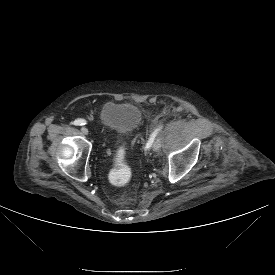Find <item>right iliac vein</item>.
<instances>
[{
  "label": "right iliac vein",
  "instance_id": "right-iliac-vein-1",
  "mask_svg": "<svg viewBox=\"0 0 275 275\" xmlns=\"http://www.w3.org/2000/svg\"><path fill=\"white\" fill-rule=\"evenodd\" d=\"M81 132H82L83 134L87 135L89 131H88V129H87L86 127H82V128H81Z\"/></svg>",
  "mask_w": 275,
  "mask_h": 275
}]
</instances>
